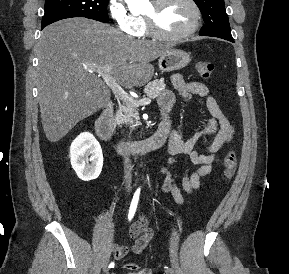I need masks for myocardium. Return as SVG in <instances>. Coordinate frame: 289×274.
I'll return each mask as SVG.
<instances>
[{"mask_svg":"<svg viewBox=\"0 0 289 274\" xmlns=\"http://www.w3.org/2000/svg\"><path fill=\"white\" fill-rule=\"evenodd\" d=\"M168 1L169 0H152L153 12L144 14V19L146 21L148 31L154 37L162 40L181 41L187 39L188 37L192 36L200 26L202 19L201 9L196 0H186L191 5L194 13V20L192 25L187 30L178 34L166 33L160 29L157 23L156 14L159 9Z\"/></svg>","mask_w":289,"mask_h":274,"instance_id":"f54148a6","label":"myocardium"}]
</instances>
